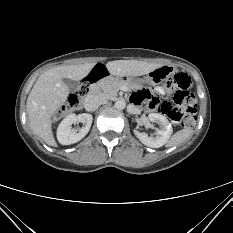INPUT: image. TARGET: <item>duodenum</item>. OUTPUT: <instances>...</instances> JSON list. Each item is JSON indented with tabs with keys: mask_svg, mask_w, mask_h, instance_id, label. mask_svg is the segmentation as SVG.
<instances>
[{
	"mask_svg": "<svg viewBox=\"0 0 233 233\" xmlns=\"http://www.w3.org/2000/svg\"><path fill=\"white\" fill-rule=\"evenodd\" d=\"M107 75V69L103 65H98L95 67L94 71L84 79L83 81V94H88V92H100L101 86L98 85L97 81Z\"/></svg>",
	"mask_w": 233,
	"mask_h": 233,
	"instance_id": "obj_1",
	"label": "duodenum"
}]
</instances>
